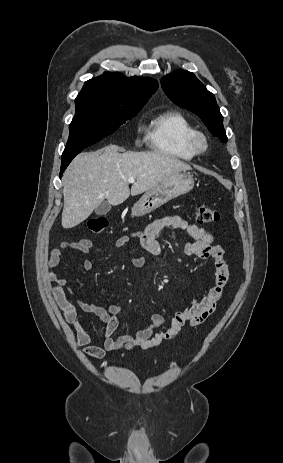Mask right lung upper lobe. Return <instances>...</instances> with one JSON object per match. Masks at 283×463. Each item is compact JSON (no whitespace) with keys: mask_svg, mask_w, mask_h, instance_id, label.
I'll return each mask as SVG.
<instances>
[{"mask_svg":"<svg viewBox=\"0 0 283 463\" xmlns=\"http://www.w3.org/2000/svg\"><path fill=\"white\" fill-rule=\"evenodd\" d=\"M157 88L158 83L152 78H128L121 73L105 72L85 82L78 96L95 100L146 104Z\"/></svg>","mask_w":283,"mask_h":463,"instance_id":"cb5924a9","label":"right lung upper lobe"}]
</instances>
